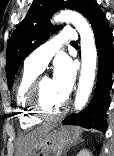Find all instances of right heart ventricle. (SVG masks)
<instances>
[{
	"instance_id": "e07e8e85",
	"label": "right heart ventricle",
	"mask_w": 114,
	"mask_h": 156,
	"mask_svg": "<svg viewBox=\"0 0 114 156\" xmlns=\"http://www.w3.org/2000/svg\"><path fill=\"white\" fill-rule=\"evenodd\" d=\"M40 70L28 65H24L23 71L17 82L15 89L16 114L18 115L20 126L24 129L30 128L41 121L29 108L28 95L35 79L40 74Z\"/></svg>"
}]
</instances>
